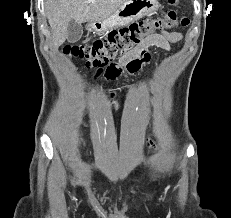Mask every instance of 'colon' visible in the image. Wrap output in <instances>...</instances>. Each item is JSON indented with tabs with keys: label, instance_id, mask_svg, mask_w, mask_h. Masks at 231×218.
Returning <instances> with one entry per match:
<instances>
[{
	"label": "colon",
	"instance_id": "1",
	"mask_svg": "<svg viewBox=\"0 0 231 218\" xmlns=\"http://www.w3.org/2000/svg\"><path fill=\"white\" fill-rule=\"evenodd\" d=\"M168 1L171 4L178 2ZM188 23L187 17L179 15L175 10H169L159 19L132 23L91 44L67 46L65 53L81 60L87 68L102 69L104 66H110L112 61L141 47L157 30L170 29L178 25L186 26ZM136 58H150V54L143 50Z\"/></svg>",
	"mask_w": 231,
	"mask_h": 218
}]
</instances>
